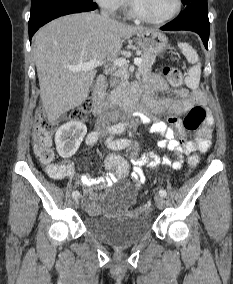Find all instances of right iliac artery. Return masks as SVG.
Returning a JSON list of instances; mask_svg holds the SVG:
<instances>
[{"instance_id":"obj_1","label":"right iliac artery","mask_w":233,"mask_h":284,"mask_svg":"<svg viewBox=\"0 0 233 284\" xmlns=\"http://www.w3.org/2000/svg\"><path fill=\"white\" fill-rule=\"evenodd\" d=\"M118 130V128L116 126H112L110 128H108V132L109 133H116V131ZM100 136V132L99 131H92L88 134L87 138H86V143L88 145H93L97 140L98 137ZM72 197L73 198H77L79 197V192L78 191H73L72 192Z\"/></svg>"}]
</instances>
